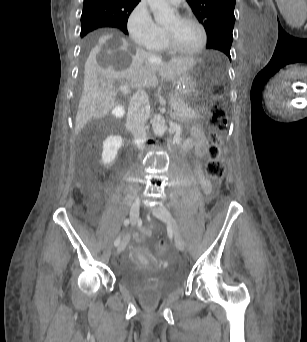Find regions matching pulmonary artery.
<instances>
[{"label":"pulmonary artery","instance_id":"pulmonary-artery-1","mask_svg":"<svg viewBox=\"0 0 307 342\" xmlns=\"http://www.w3.org/2000/svg\"><path fill=\"white\" fill-rule=\"evenodd\" d=\"M171 5H178L180 4L182 1H168Z\"/></svg>","mask_w":307,"mask_h":342}]
</instances>
